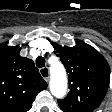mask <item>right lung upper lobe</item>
<instances>
[{
    "mask_svg": "<svg viewBox=\"0 0 112 112\" xmlns=\"http://www.w3.org/2000/svg\"><path fill=\"white\" fill-rule=\"evenodd\" d=\"M19 46L0 45V112H27L36 95L47 88L31 59Z\"/></svg>",
    "mask_w": 112,
    "mask_h": 112,
    "instance_id": "1",
    "label": "right lung upper lobe"
}]
</instances>
